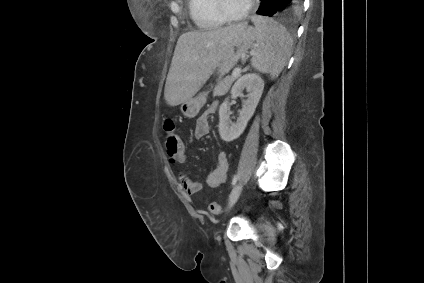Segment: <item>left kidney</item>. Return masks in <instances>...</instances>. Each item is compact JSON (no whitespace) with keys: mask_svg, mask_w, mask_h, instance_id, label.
<instances>
[{"mask_svg":"<svg viewBox=\"0 0 424 283\" xmlns=\"http://www.w3.org/2000/svg\"><path fill=\"white\" fill-rule=\"evenodd\" d=\"M247 91V99L242 100V110L236 123H233L228 116L229 100L226 99L219 109V134L226 142L233 141L244 132L248 121L254 115L264 89L263 79L255 73L241 76L231 89V97L243 98V90Z\"/></svg>","mask_w":424,"mask_h":283,"instance_id":"left-kidney-1","label":"left kidney"}]
</instances>
